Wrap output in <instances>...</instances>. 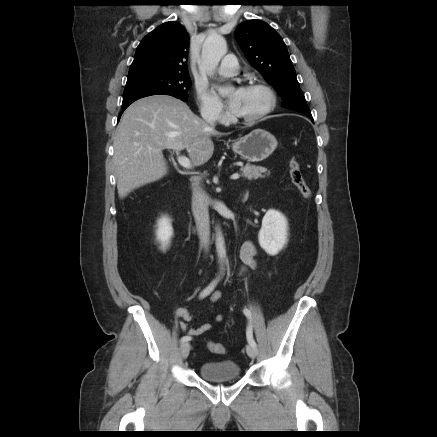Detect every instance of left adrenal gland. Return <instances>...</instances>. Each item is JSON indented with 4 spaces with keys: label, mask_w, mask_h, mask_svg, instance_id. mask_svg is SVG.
Listing matches in <instances>:
<instances>
[{
    "label": "left adrenal gland",
    "mask_w": 437,
    "mask_h": 437,
    "mask_svg": "<svg viewBox=\"0 0 437 437\" xmlns=\"http://www.w3.org/2000/svg\"><path fill=\"white\" fill-rule=\"evenodd\" d=\"M247 196H248V194L246 193V195L244 196V200H246V199H247Z\"/></svg>",
    "instance_id": "left-adrenal-gland-1"
}]
</instances>
